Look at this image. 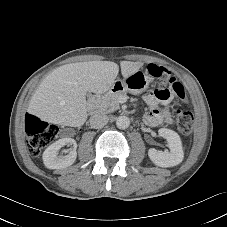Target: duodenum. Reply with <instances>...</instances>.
<instances>
[{"label": "duodenum", "mask_w": 227, "mask_h": 227, "mask_svg": "<svg viewBox=\"0 0 227 227\" xmlns=\"http://www.w3.org/2000/svg\"><path fill=\"white\" fill-rule=\"evenodd\" d=\"M121 89V87L119 86V85H117V84H115V85H113L112 87H111V91L112 92H117V91H119ZM100 94H95V95H93L91 98H90V100H89V109L90 110H95V108H96V105H97V102H98V100L100 99Z\"/></svg>", "instance_id": "1"}]
</instances>
